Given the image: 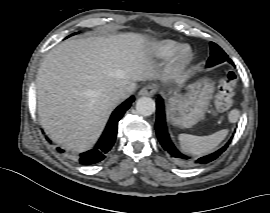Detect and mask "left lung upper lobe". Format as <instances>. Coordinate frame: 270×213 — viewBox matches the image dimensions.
<instances>
[{
  "label": "left lung upper lobe",
  "instance_id": "left-lung-upper-lobe-1",
  "mask_svg": "<svg viewBox=\"0 0 270 213\" xmlns=\"http://www.w3.org/2000/svg\"><path fill=\"white\" fill-rule=\"evenodd\" d=\"M210 57L207 61V66L211 67L222 62L228 61L233 64L232 60L228 58V55L215 43H210Z\"/></svg>",
  "mask_w": 270,
  "mask_h": 213
}]
</instances>
